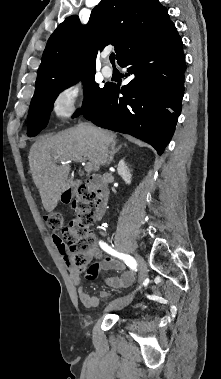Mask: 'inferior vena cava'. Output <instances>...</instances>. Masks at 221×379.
<instances>
[{"mask_svg": "<svg viewBox=\"0 0 221 379\" xmlns=\"http://www.w3.org/2000/svg\"><path fill=\"white\" fill-rule=\"evenodd\" d=\"M79 127L87 129L89 132L95 134L96 136H101V132L90 125H87L85 123H80ZM108 154H109L108 147L106 146V144H103L101 148V152H100L101 165H105L107 163Z\"/></svg>", "mask_w": 221, "mask_h": 379, "instance_id": "1", "label": "inferior vena cava"}]
</instances>
